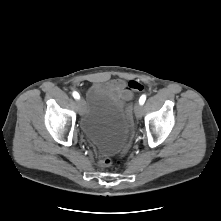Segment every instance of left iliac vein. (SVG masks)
Masks as SVG:
<instances>
[{
	"label": "left iliac vein",
	"instance_id": "obj_1",
	"mask_svg": "<svg viewBox=\"0 0 221 221\" xmlns=\"http://www.w3.org/2000/svg\"><path fill=\"white\" fill-rule=\"evenodd\" d=\"M134 112H135V116L137 118H141L143 115V107L140 103H136L134 106Z\"/></svg>",
	"mask_w": 221,
	"mask_h": 221
}]
</instances>
